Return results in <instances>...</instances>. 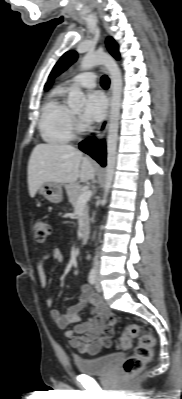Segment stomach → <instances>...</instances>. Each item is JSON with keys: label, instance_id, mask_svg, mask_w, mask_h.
Here are the masks:
<instances>
[{"label": "stomach", "instance_id": "0dacf381", "mask_svg": "<svg viewBox=\"0 0 182 399\" xmlns=\"http://www.w3.org/2000/svg\"><path fill=\"white\" fill-rule=\"evenodd\" d=\"M38 192L52 203H60L63 200L62 185L60 183H43L38 188Z\"/></svg>", "mask_w": 182, "mask_h": 399}]
</instances>
